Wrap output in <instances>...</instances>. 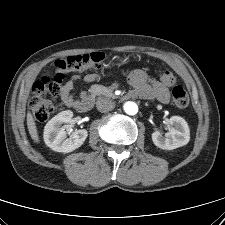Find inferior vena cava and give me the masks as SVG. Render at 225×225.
<instances>
[{
  "label": "inferior vena cava",
  "mask_w": 225,
  "mask_h": 225,
  "mask_svg": "<svg viewBox=\"0 0 225 225\" xmlns=\"http://www.w3.org/2000/svg\"><path fill=\"white\" fill-rule=\"evenodd\" d=\"M96 107H97L98 111L105 113V112H108V111H111L112 109H114L115 103L113 100H111L109 98H100L96 102Z\"/></svg>",
  "instance_id": "1"
}]
</instances>
